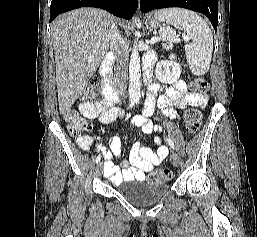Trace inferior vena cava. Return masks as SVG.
Listing matches in <instances>:
<instances>
[{"label": "inferior vena cava", "mask_w": 257, "mask_h": 237, "mask_svg": "<svg viewBox=\"0 0 257 237\" xmlns=\"http://www.w3.org/2000/svg\"><path fill=\"white\" fill-rule=\"evenodd\" d=\"M110 48L116 59V84L119 94L124 98L128 81L129 51L125 40L121 37L115 23L110 37Z\"/></svg>", "instance_id": "obj_1"}]
</instances>
